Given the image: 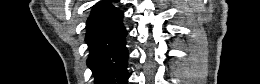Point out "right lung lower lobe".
<instances>
[{
  "instance_id": "obj_1",
  "label": "right lung lower lobe",
  "mask_w": 260,
  "mask_h": 84,
  "mask_svg": "<svg viewBox=\"0 0 260 84\" xmlns=\"http://www.w3.org/2000/svg\"><path fill=\"white\" fill-rule=\"evenodd\" d=\"M122 18L123 13L110 1H100L87 20L85 41L90 52L87 65L94 73L95 84L127 83V32Z\"/></svg>"
}]
</instances>
